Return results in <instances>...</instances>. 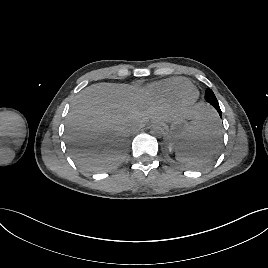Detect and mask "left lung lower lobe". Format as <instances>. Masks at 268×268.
<instances>
[{"label":"left lung lower lobe","mask_w":268,"mask_h":268,"mask_svg":"<svg viewBox=\"0 0 268 268\" xmlns=\"http://www.w3.org/2000/svg\"><path fill=\"white\" fill-rule=\"evenodd\" d=\"M219 113V116L222 118V112H221V109L219 107V103H213L211 104ZM220 137V136H219Z\"/></svg>","instance_id":"left-lung-lower-lobe-1"}]
</instances>
